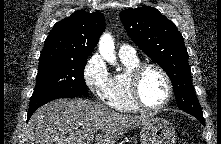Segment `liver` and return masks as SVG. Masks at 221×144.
I'll use <instances>...</instances> for the list:
<instances>
[{"label": "liver", "mask_w": 221, "mask_h": 144, "mask_svg": "<svg viewBox=\"0 0 221 144\" xmlns=\"http://www.w3.org/2000/svg\"><path fill=\"white\" fill-rule=\"evenodd\" d=\"M149 115L133 116L87 99H57L31 116L24 132L26 144H115L129 129L140 128Z\"/></svg>", "instance_id": "obj_1"}]
</instances>
